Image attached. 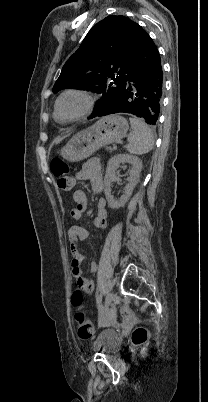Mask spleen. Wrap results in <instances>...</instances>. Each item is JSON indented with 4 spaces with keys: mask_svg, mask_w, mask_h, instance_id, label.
<instances>
[{
    "mask_svg": "<svg viewBox=\"0 0 208 402\" xmlns=\"http://www.w3.org/2000/svg\"><path fill=\"white\" fill-rule=\"evenodd\" d=\"M131 132L128 136V144L126 146L130 154H148L154 146V138L152 130L145 124L144 120L139 118H130Z\"/></svg>",
    "mask_w": 208,
    "mask_h": 402,
    "instance_id": "spleen-1",
    "label": "spleen"
}]
</instances>
